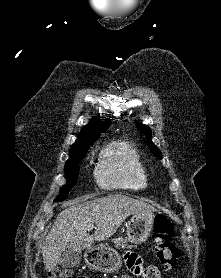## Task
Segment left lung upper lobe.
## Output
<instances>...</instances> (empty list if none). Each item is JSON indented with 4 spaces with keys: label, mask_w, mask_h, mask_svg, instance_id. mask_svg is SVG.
<instances>
[{
    "label": "left lung upper lobe",
    "mask_w": 221,
    "mask_h": 278,
    "mask_svg": "<svg viewBox=\"0 0 221 278\" xmlns=\"http://www.w3.org/2000/svg\"><path fill=\"white\" fill-rule=\"evenodd\" d=\"M137 127L139 128V130L146 136V143L149 147V149L153 152V154L157 157H159L160 159L162 158L161 152L158 149V147L151 141V129L147 126L144 125L140 122L136 123Z\"/></svg>",
    "instance_id": "5c2ea615"
}]
</instances>
